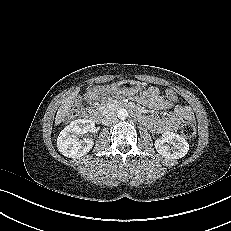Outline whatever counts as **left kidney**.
Returning <instances> with one entry per match:
<instances>
[{"mask_svg":"<svg viewBox=\"0 0 231 231\" xmlns=\"http://www.w3.org/2000/svg\"><path fill=\"white\" fill-rule=\"evenodd\" d=\"M154 145L157 152L168 159L182 158L189 150V144L185 138L169 131L164 132Z\"/></svg>","mask_w":231,"mask_h":231,"instance_id":"left-kidney-1","label":"left kidney"}]
</instances>
